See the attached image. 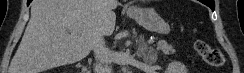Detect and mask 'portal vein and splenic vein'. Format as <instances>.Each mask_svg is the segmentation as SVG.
<instances>
[{
    "label": "portal vein and splenic vein",
    "mask_w": 244,
    "mask_h": 73,
    "mask_svg": "<svg viewBox=\"0 0 244 73\" xmlns=\"http://www.w3.org/2000/svg\"><path fill=\"white\" fill-rule=\"evenodd\" d=\"M148 43L152 44L154 43V40H149Z\"/></svg>",
    "instance_id": "obj_1"
}]
</instances>
